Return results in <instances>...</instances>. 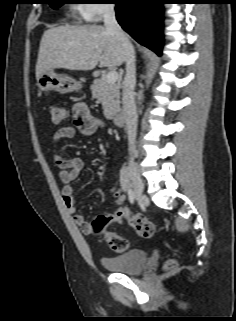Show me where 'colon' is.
I'll return each mask as SVG.
<instances>
[{
  "label": "colon",
  "mask_w": 236,
  "mask_h": 321,
  "mask_svg": "<svg viewBox=\"0 0 236 321\" xmlns=\"http://www.w3.org/2000/svg\"><path fill=\"white\" fill-rule=\"evenodd\" d=\"M49 112L53 124L59 125L65 118L64 110L55 104L49 106ZM126 219L129 226L142 238H150L155 233L154 223L140 213H134L128 208L118 209L114 214L100 215L91 223L88 234H99L105 231L106 227L112 222H119ZM106 243L109 248L116 252H124L128 248V241L115 231H108L105 234ZM176 268V262L170 260L166 264V269L171 271Z\"/></svg>",
  "instance_id": "5ec220e1"
}]
</instances>
